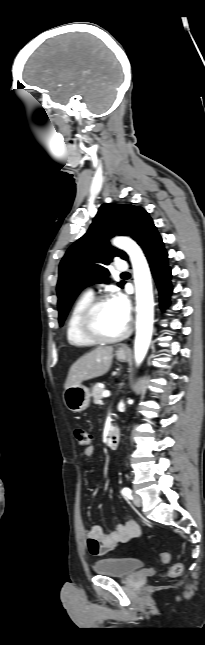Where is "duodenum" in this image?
<instances>
[{"mask_svg":"<svg viewBox=\"0 0 205 645\" xmlns=\"http://www.w3.org/2000/svg\"><path fill=\"white\" fill-rule=\"evenodd\" d=\"M119 441H120V431L118 428H113L109 433V437L107 441L109 449H115L118 446Z\"/></svg>","mask_w":205,"mask_h":645,"instance_id":"duodenum-1","label":"duodenum"}]
</instances>
